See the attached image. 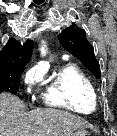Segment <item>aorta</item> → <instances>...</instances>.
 Listing matches in <instances>:
<instances>
[{
    "instance_id": "762f6f07",
    "label": "aorta",
    "mask_w": 117,
    "mask_h": 136,
    "mask_svg": "<svg viewBox=\"0 0 117 136\" xmlns=\"http://www.w3.org/2000/svg\"><path fill=\"white\" fill-rule=\"evenodd\" d=\"M41 51H42V54H45V49L44 48H42Z\"/></svg>"
}]
</instances>
